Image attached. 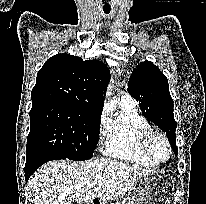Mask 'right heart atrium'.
I'll use <instances>...</instances> for the list:
<instances>
[{
	"label": "right heart atrium",
	"instance_id": "right-heart-atrium-1",
	"mask_svg": "<svg viewBox=\"0 0 206 204\" xmlns=\"http://www.w3.org/2000/svg\"><path fill=\"white\" fill-rule=\"evenodd\" d=\"M107 119H108L107 112L106 110H103L98 119V128H99L100 134H103L105 132L106 125H107Z\"/></svg>",
	"mask_w": 206,
	"mask_h": 204
}]
</instances>
